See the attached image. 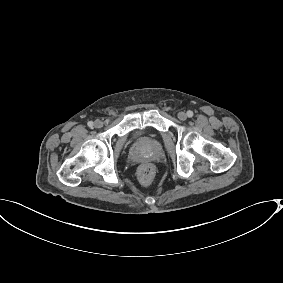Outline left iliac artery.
<instances>
[{"label":"left iliac artery","instance_id":"44dca946","mask_svg":"<svg viewBox=\"0 0 283 283\" xmlns=\"http://www.w3.org/2000/svg\"><path fill=\"white\" fill-rule=\"evenodd\" d=\"M193 115H194V114H193V112H192L191 110H188V111H187V116H188V117L191 118V117H193Z\"/></svg>","mask_w":283,"mask_h":283}]
</instances>
